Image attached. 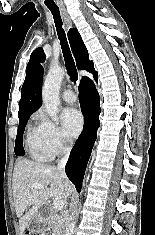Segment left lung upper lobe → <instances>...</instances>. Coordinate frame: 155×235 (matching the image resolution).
Wrapping results in <instances>:
<instances>
[{
  "label": "left lung upper lobe",
  "mask_w": 155,
  "mask_h": 235,
  "mask_svg": "<svg viewBox=\"0 0 155 235\" xmlns=\"http://www.w3.org/2000/svg\"><path fill=\"white\" fill-rule=\"evenodd\" d=\"M45 54H44V51L41 47L35 49L31 56H30V61L28 63V65H30L32 62H34L35 60H39L41 62H43L45 60Z\"/></svg>",
  "instance_id": "1"
}]
</instances>
